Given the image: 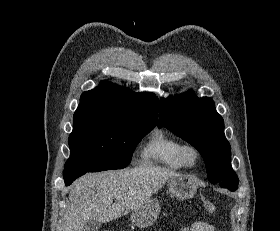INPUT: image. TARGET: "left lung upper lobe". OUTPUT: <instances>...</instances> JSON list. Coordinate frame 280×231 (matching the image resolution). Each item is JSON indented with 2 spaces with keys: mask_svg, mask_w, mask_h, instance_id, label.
<instances>
[{
  "mask_svg": "<svg viewBox=\"0 0 280 231\" xmlns=\"http://www.w3.org/2000/svg\"><path fill=\"white\" fill-rule=\"evenodd\" d=\"M162 126L201 153L211 183L237 177L231 167V147L224 135V121L211 98H198L192 91L162 98L158 127Z\"/></svg>",
  "mask_w": 280,
  "mask_h": 231,
  "instance_id": "5c2ea615",
  "label": "left lung upper lobe"
}]
</instances>
